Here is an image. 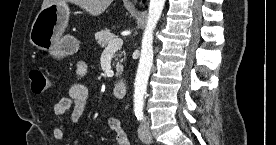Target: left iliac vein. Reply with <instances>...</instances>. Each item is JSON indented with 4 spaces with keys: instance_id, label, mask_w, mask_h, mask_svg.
Returning <instances> with one entry per match:
<instances>
[{
    "instance_id": "1",
    "label": "left iliac vein",
    "mask_w": 276,
    "mask_h": 145,
    "mask_svg": "<svg viewBox=\"0 0 276 145\" xmlns=\"http://www.w3.org/2000/svg\"><path fill=\"white\" fill-rule=\"evenodd\" d=\"M138 136L140 138V140L144 143H151L152 142V135H151V131H150V126L149 123L147 121H143L138 129Z\"/></svg>"
}]
</instances>
